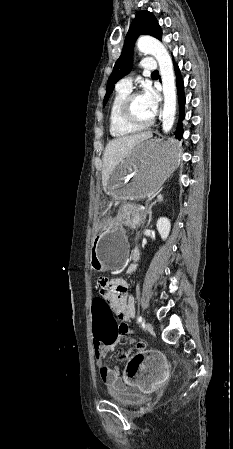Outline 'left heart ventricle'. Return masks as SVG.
<instances>
[{"label": "left heart ventricle", "mask_w": 233, "mask_h": 449, "mask_svg": "<svg viewBox=\"0 0 233 449\" xmlns=\"http://www.w3.org/2000/svg\"><path fill=\"white\" fill-rule=\"evenodd\" d=\"M135 117L141 121L149 119L152 115L142 95L137 96L132 103Z\"/></svg>", "instance_id": "b2bd125f"}]
</instances>
